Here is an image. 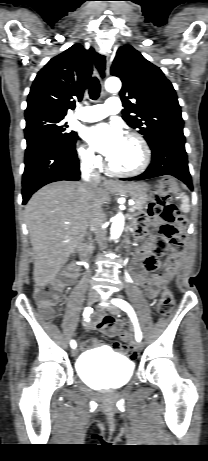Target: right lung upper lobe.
<instances>
[{
  "label": "right lung upper lobe",
  "mask_w": 208,
  "mask_h": 461,
  "mask_svg": "<svg viewBox=\"0 0 208 461\" xmlns=\"http://www.w3.org/2000/svg\"><path fill=\"white\" fill-rule=\"evenodd\" d=\"M94 49L80 44L52 58L37 74L30 89L25 116H65L88 86Z\"/></svg>",
  "instance_id": "right-lung-upper-lobe-1"
}]
</instances>
